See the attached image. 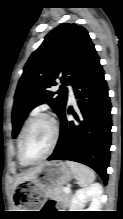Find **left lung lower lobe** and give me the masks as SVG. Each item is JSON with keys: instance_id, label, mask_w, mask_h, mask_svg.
<instances>
[{"instance_id": "obj_1", "label": "left lung lower lobe", "mask_w": 123, "mask_h": 219, "mask_svg": "<svg viewBox=\"0 0 123 219\" xmlns=\"http://www.w3.org/2000/svg\"><path fill=\"white\" fill-rule=\"evenodd\" d=\"M99 57L92 58L72 86L78 112L65 105L60 114V137L48 160H70L93 168L107 182L111 146V103ZM75 120H68V114Z\"/></svg>"}]
</instances>
